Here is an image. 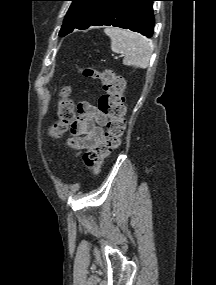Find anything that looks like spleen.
<instances>
[{
    "instance_id": "1",
    "label": "spleen",
    "mask_w": 216,
    "mask_h": 285,
    "mask_svg": "<svg viewBox=\"0 0 216 285\" xmlns=\"http://www.w3.org/2000/svg\"><path fill=\"white\" fill-rule=\"evenodd\" d=\"M104 33L111 39V49L124 54L123 64L145 69L151 58V46L147 38L139 33L120 28L107 27Z\"/></svg>"
}]
</instances>
